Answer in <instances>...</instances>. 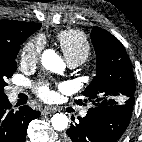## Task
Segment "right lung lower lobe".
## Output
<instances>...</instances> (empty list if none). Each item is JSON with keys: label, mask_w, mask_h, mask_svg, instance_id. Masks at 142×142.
I'll use <instances>...</instances> for the list:
<instances>
[{"label": "right lung lower lobe", "mask_w": 142, "mask_h": 142, "mask_svg": "<svg viewBox=\"0 0 142 142\" xmlns=\"http://www.w3.org/2000/svg\"><path fill=\"white\" fill-rule=\"evenodd\" d=\"M40 112L29 106L12 109L7 98L0 100V142H25L28 124L39 117Z\"/></svg>", "instance_id": "1"}]
</instances>
